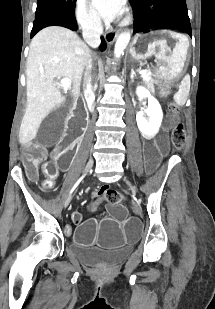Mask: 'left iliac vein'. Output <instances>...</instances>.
<instances>
[{"label": "left iliac vein", "mask_w": 215, "mask_h": 309, "mask_svg": "<svg viewBox=\"0 0 215 309\" xmlns=\"http://www.w3.org/2000/svg\"><path fill=\"white\" fill-rule=\"evenodd\" d=\"M124 180L125 182L127 183V185L129 186L130 190L135 194L136 193V188L134 185L131 184V182L126 178L124 177Z\"/></svg>", "instance_id": "left-iliac-vein-1"}]
</instances>
